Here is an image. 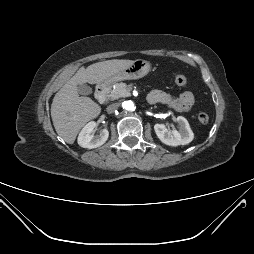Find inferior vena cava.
<instances>
[{
    "label": "inferior vena cava",
    "instance_id": "602c4592",
    "mask_svg": "<svg viewBox=\"0 0 254 254\" xmlns=\"http://www.w3.org/2000/svg\"><path fill=\"white\" fill-rule=\"evenodd\" d=\"M118 107H119V103H113V104L109 105L106 110L108 113H113V112H115V110L118 109Z\"/></svg>",
    "mask_w": 254,
    "mask_h": 254
}]
</instances>
